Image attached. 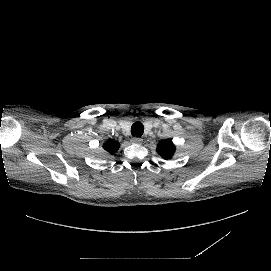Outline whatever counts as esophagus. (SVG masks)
Segmentation results:
<instances>
[{"label": "esophagus", "mask_w": 271, "mask_h": 271, "mask_svg": "<svg viewBox=\"0 0 271 271\" xmlns=\"http://www.w3.org/2000/svg\"><path fill=\"white\" fill-rule=\"evenodd\" d=\"M131 143L133 144H141L143 142V139L140 138V137H135L133 136L131 139H130Z\"/></svg>", "instance_id": "34e87169"}]
</instances>
